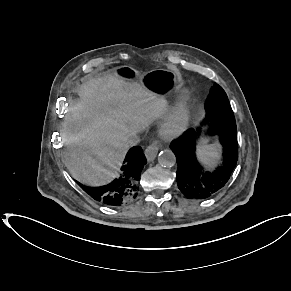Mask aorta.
Returning a JSON list of instances; mask_svg holds the SVG:
<instances>
[{
	"label": "aorta",
	"mask_w": 291,
	"mask_h": 291,
	"mask_svg": "<svg viewBox=\"0 0 291 291\" xmlns=\"http://www.w3.org/2000/svg\"><path fill=\"white\" fill-rule=\"evenodd\" d=\"M158 162L161 166L170 168L175 165L176 157L171 150H163L158 155Z\"/></svg>",
	"instance_id": "762f6f07"
}]
</instances>
